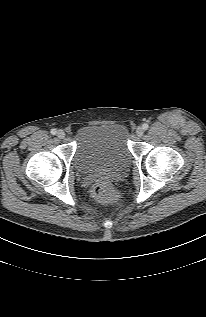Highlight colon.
I'll use <instances>...</instances> for the list:
<instances>
[{"instance_id":"1","label":"colon","mask_w":206,"mask_h":317,"mask_svg":"<svg viewBox=\"0 0 206 317\" xmlns=\"http://www.w3.org/2000/svg\"><path fill=\"white\" fill-rule=\"evenodd\" d=\"M91 192L96 200L103 203L114 202L118 197L112 183L106 179L96 181Z\"/></svg>"}]
</instances>
